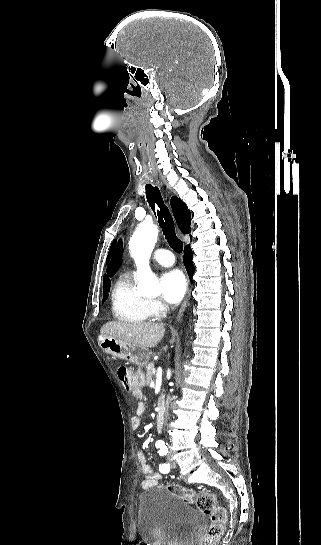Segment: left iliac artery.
Here are the masks:
<instances>
[{"instance_id": "1", "label": "left iliac artery", "mask_w": 321, "mask_h": 545, "mask_svg": "<svg viewBox=\"0 0 321 545\" xmlns=\"http://www.w3.org/2000/svg\"><path fill=\"white\" fill-rule=\"evenodd\" d=\"M167 452H168L167 447L163 446L159 450V455L163 457L167 454ZM159 470L161 473H167L170 470V466L168 463H163L162 465H160Z\"/></svg>"}]
</instances>
